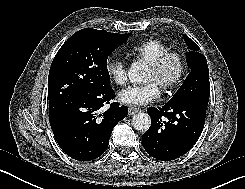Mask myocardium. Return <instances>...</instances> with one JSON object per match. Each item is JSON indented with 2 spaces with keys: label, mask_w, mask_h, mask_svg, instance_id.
<instances>
[{
  "label": "myocardium",
  "mask_w": 245,
  "mask_h": 189,
  "mask_svg": "<svg viewBox=\"0 0 245 189\" xmlns=\"http://www.w3.org/2000/svg\"><path fill=\"white\" fill-rule=\"evenodd\" d=\"M170 62L177 63L178 71L172 79L163 84V91L175 90L180 85L187 68L185 58L177 52H168L148 65L153 73L160 74Z\"/></svg>",
  "instance_id": "1"
}]
</instances>
